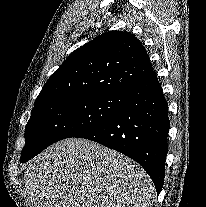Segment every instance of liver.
Wrapping results in <instances>:
<instances>
[{"mask_svg": "<svg viewBox=\"0 0 206 207\" xmlns=\"http://www.w3.org/2000/svg\"><path fill=\"white\" fill-rule=\"evenodd\" d=\"M35 207H152L155 187L133 160L98 143L61 140L28 163Z\"/></svg>", "mask_w": 206, "mask_h": 207, "instance_id": "liver-1", "label": "liver"}]
</instances>
